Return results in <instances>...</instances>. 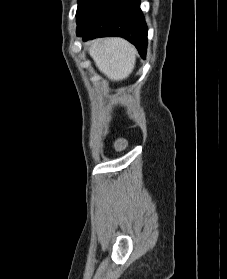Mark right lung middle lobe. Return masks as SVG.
<instances>
[{"mask_svg":"<svg viewBox=\"0 0 227 279\" xmlns=\"http://www.w3.org/2000/svg\"><path fill=\"white\" fill-rule=\"evenodd\" d=\"M92 0H78L76 18L78 19Z\"/></svg>","mask_w":227,"mask_h":279,"instance_id":"obj_1","label":"right lung middle lobe"}]
</instances>
